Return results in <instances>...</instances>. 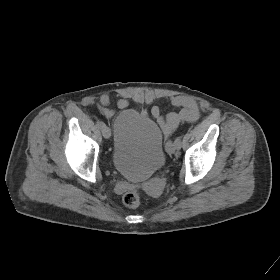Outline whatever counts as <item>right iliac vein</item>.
<instances>
[{"label": "right iliac vein", "instance_id": "obj_1", "mask_svg": "<svg viewBox=\"0 0 280 280\" xmlns=\"http://www.w3.org/2000/svg\"><path fill=\"white\" fill-rule=\"evenodd\" d=\"M101 132L104 138L108 139L111 136V131L107 126L101 128Z\"/></svg>", "mask_w": 280, "mask_h": 280}]
</instances>
